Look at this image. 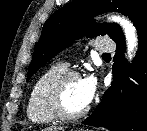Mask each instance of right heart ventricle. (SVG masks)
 I'll list each match as a JSON object with an SVG mask.
<instances>
[{
    "mask_svg": "<svg viewBox=\"0 0 147 131\" xmlns=\"http://www.w3.org/2000/svg\"><path fill=\"white\" fill-rule=\"evenodd\" d=\"M66 70L67 67L64 64L56 63L50 65L37 77L27 102V117L31 122L49 124L57 120L46 104L45 92L51 80Z\"/></svg>",
    "mask_w": 147,
    "mask_h": 131,
    "instance_id": "obj_1",
    "label": "right heart ventricle"
}]
</instances>
